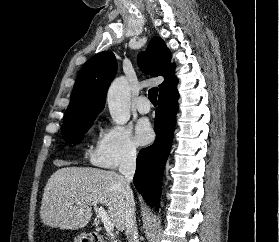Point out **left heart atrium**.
Segmentation results:
<instances>
[{
  "instance_id": "1",
  "label": "left heart atrium",
  "mask_w": 279,
  "mask_h": 242,
  "mask_svg": "<svg viewBox=\"0 0 279 242\" xmlns=\"http://www.w3.org/2000/svg\"><path fill=\"white\" fill-rule=\"evenodd\" d=\"M153 137V130L150 122L146 118L138 120L135 126V139L139 145H145L151 141Z\"/></svg>"
}]
</instances>
